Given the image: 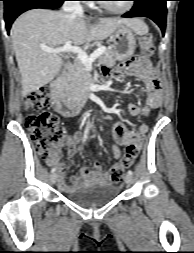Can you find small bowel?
<instances>
[{
  "label": "small bowel",
  "mask_w": 194,
  "mask_h": 253,
  "mask_svg": "<svg viewBox=\"0 0 194 253\" xmlns=\"http://www.w3.org/2000/svg\"><path fill=\"white\" fill-rule=\"evenodd\" d=\"M116 72L122 75L136 76L144 86V89L140 91L145 95V105L140 108L137 105L131 104L128 110L133 116L149 117L151 112L157 109L162 103V91L160 82L154 77L153 74H158V69L151 68V64L148 59L142 57H132L129 60L123 62L116 68ZM104 73L108 74V69H104ZM149 130V126L146 123H142L137 131L127 129L121 122H115L113 125V136L116 144H112L113 155L116 159L121 157V152L118 145L129 147L130 145H136L139 149ZM83 139L82 134L77 133L73 137L62 138L60 145L66 147V154L68 157H72L76 151L77 146ZM50 165H55L58 170V184L59 188L63 192H71L72 190L84 185L88 182L95 181L99 183L115 182L111 178V174L108 172H102L101 166L98 162H95L92 170L87 166L80 168V176H72L69 178V183L65 181V175L69 170V165L66 163H60L54 159H49Z\"/></svg>",
  "instance_id": "small-bowel-1"
}]
</instances>
